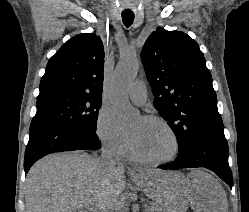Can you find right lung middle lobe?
<instances>
[{
  "label": "right lung middle lobe",
  "instance_id": "dd1d6c3e",
  "mask_svg": "<svg viewBox=\"0 0 249 212\" xmlns=\"http://www.w3.org/2000/svg\"><path fill=\"white\" fill-rule=\"evenodd\" d=\"M101 97L55 92L37 97V112L30 132L39 127L64 125L95 134Z\"/></svg>",
  "mask_w": 249,
  "mask_h": 212
}]
</instances>
